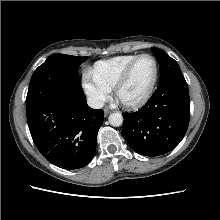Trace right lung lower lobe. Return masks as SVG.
<instances>
[{
  "mask_svg": "<svg viewBox=\"0 0 220 220\" xmlns=\"http://www.w3.org/2000/svg\"><path fill=\"white\" fill-rule=\"evenodd\" d=\"M32 139L40 153L63 169H78L92 160L103 110L75 98L43 99L26 106Z\"/></svg>",
  "mask_w": 220,
  "mask_h": 220,
  "instance_id": "1",
  "label": "right lung lower lobe"
}]
</instances>
